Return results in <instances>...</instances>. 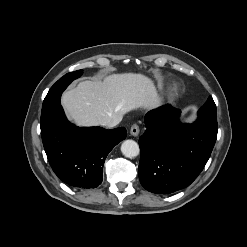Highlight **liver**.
<instances>
[{"instance_id": "1", "label": "liver", "mask_w": 247, "mask_h": 247, "mask_svg": "<svg viewBox=\"0 0 247 247\" xmlns=\"http://www.w3.org/2000/svg\"><path fill=\"white\" fill-rule=\"evenodd\" d=\"M62 105L78 126H107L116 118L139 108L160 105L153 81L141 73H121L103 80H86L65 91Z\"/></svg>"}]
</instances>
